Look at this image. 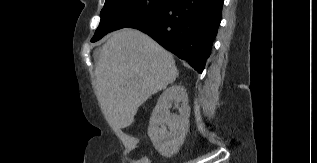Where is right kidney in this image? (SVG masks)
<instances>
[{
  "mask_svg": "<svg viewBox=\"0 0 317 163\" xmlns=\"http://www.w3.org/2000/svg\"><path fill=\"white\" fill-rule=\"evenodd\" d=\"M173 101L178 115L170 113ZM189 117L188 95L183 87L173 85L160 95L149 121L148 136L162 156L168 158L179 151L189 130Z\"/></svg>",
  "mask_w": 317,
  "mask_h": 163,
  "instance_id": "right-kidney-1",
  "label": "right kidney"
}]
</instances>
